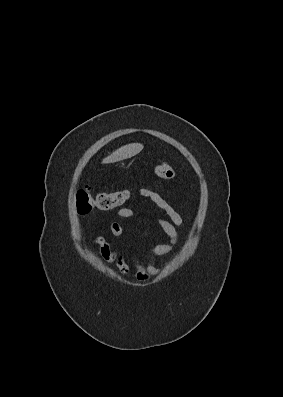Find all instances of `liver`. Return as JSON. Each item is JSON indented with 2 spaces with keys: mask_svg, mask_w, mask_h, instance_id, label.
<instances>
[{
  "mask_svg": "<svg viewBox=\"0 0 283 397\" xmlns=\"http://www.w3.org/2000/svg\"><path fill=\"white\" fill-rule=\"evenodd\" d=\"M143 149V145L140 143H132L125 146L120 147L116 151H114L111 155L103 159L102 163H114L124 159L131 158L138 153H140Z\"/></svg>",
  "mask_w": 283,
  "mask_h": 397,
  "instance_id": "1",
  "label": "liver"
}]
</instances>
